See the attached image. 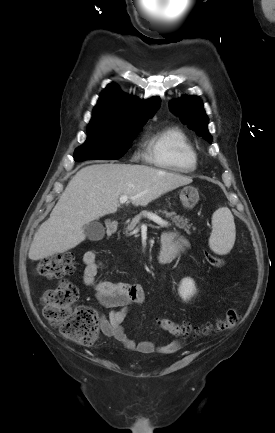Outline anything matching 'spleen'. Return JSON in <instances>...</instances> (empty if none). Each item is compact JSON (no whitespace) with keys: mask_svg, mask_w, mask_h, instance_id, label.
I'll use <instances>...</instances> for the list:
<instances>
[{"mask_svg":"<svg viewBox=\"0 0 275 433\" xmlns=\"http://www.w3.org/2000/svg\"><path fill=\"white\" fill-rule=\"evenodd\" d=\"M235 237V223L231 211L227 207L219 208L212 215L210 249L216 254L225 255L232 249Z\"/></svg>","mask_w":275,"mask_h":433,"instance_id":"obj_1","label":"spleen"}]
</instances>
